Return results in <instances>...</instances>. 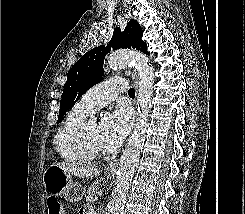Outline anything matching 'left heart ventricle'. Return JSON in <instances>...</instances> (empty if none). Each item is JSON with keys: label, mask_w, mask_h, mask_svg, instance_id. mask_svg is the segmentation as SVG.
Returning a JSON list of instances; mask_svg holds the SVG:
<instances>
[{"label": "left heart ventricle", "mask_w": 245, "mask_h": 214, "mask_svg": "<svg viewBox=\"0 0 245 214\" xmlns=\"http://www.w3.org/2000/svg\"><path fill=\"white\" fill-rule=\"evenodd\" d=\"M97 124L95 122H89L86 130V140L87 145L90 150L94 152H104L103 148L101 147L98 136H97Z\"/></svg>", "instance_id": "1"}]
</instances>
